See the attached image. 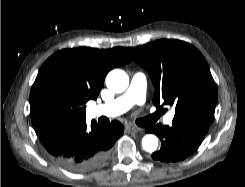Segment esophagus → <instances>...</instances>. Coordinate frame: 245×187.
Wrapping results in <instances>:
<instances>
[{"label": "esophagus", "instance_id": "obj_1", "mask_svg": "<svg viewBox=\"0 0 245 187\" xmlns=\"http://www.w3.org/2000/svg\"><path fill=\"white\" fill-rule=\"evenodd\" d=\"M125 129H126V131H128V132H140V131L143 130L142 128H140V127H138V126H136V125H133V124H127V125L125 126Z\"/></svg>", "mask_w": 245, "mask_h": 187}]
</instances>
